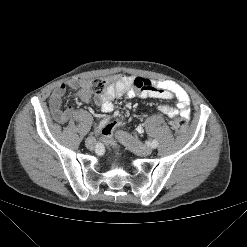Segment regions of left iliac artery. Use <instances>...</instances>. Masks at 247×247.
Returning <instances> with one entry per match:
<instances>
[{
  "instance_id": "44dca946",
  "label": "left iliac artery",
  "mask_w": 247,
  "mask_h": 247,
  "mask_svg": "<svg viewBox=\"0 0 247 247\" xmlns=\"http://www.w3.org/2000/svg\"><path fill=\"white\" fill-rule=\"evenodd\" d=\"M150 145H151L152 148H156L158 146V141L157 140H152Z\"/></svg>"
}]
</instances>
